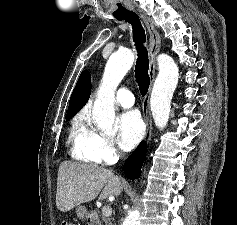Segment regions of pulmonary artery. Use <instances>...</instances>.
Here are the masks:
<instances>
[{
	"label": "pulmonary artery",
	"mask_w": 237,
	"mask_h": 225,
	"mask_svg": "<svg viewBox=\"0 0 237 225\" xmlns=\"http://www.w3.org/2000/svg\"><path fill=\"white\" fill-rule=\"evenodd\" d=\"M115 101L124 108H130L134 105L133 94L127 89H119L115 95Z\"/></svg>",
	"instance_id": "e3ab8cb5"
}]
</instances>
